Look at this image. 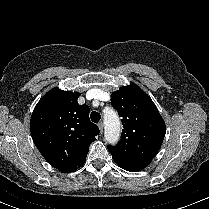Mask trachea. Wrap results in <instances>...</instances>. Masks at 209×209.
<instances>
[{
  "instance_id": "obj_1",
  "label": "trachea",
  "mask_w": 209,
  "mask_h": 209,
  "mask_svg": "<svg viewBox=\"0 0 209 209\" xmlns=\"http://www.w3.org/2000/svg\"><path fill=\"white\" fill-rule=\"evenodd\" d=\"M90 118L94 123H98L101 118V115H100V113L93 111L90 114Z\"/></svg>"
}]
</instances>
